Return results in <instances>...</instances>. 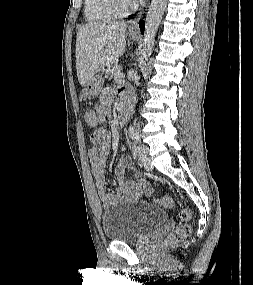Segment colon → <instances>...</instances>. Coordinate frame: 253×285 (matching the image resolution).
I'll use <instances>...</instances> for the list:
<instances>
[{"label":"colon","instance_id":"1","mask_svg":"<svg viewBox=\"0 0 253 285\" xmlns=\"http://www.w3.org/2000/svg\"><path fill=\"white\" fill-rule=\"evenodd\" d=\"M85 119L90 126H95L99 123V117L95 110L91 109L87 110L85 112ZM154 201L158 205L165 208H171L174 205L172 197L168 195L157 198ZM180 219L181 222L179 223L178 227L174 231H172L165 240V244L168 246L173 245L181 241L182 239L186 238L191 232V226H190L191 212L188 208H184L181 210Z\"/></svg>","mask_w":253,"mask_h":285}]
</instances>
